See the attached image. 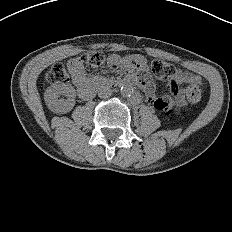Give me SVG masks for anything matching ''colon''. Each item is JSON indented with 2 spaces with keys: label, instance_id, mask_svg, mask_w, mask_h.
<instances>
[{
  "label": "colon",
  "instance_id": "colon-1",
  "mask_svg": "<svg viewBox=\"0 0 232 232\" xmlns=\"http://www.w3.org/2000/svg\"><path fill=\"white\" fill-rule=\"evenodd\" d=\"M81 63H84L88 68L94 69L103 65L105 61V55L100 51H92L84 54L80 59ZM151 71L153 75L159 80L171 79L176 74V68L164 61L153 60L150 63ZM138 74V73H137ZM46 80L50 84H61L69 81V73L66 64L62 62L55 63L46 75ZM186 97L191 103H197L201 100L202 86L190 84L185 89ZM167 113H171L172 110L168 108Z\"/></svg>",
  "mask_w": 232,
  "mask_h": 232
}]
</instances>
